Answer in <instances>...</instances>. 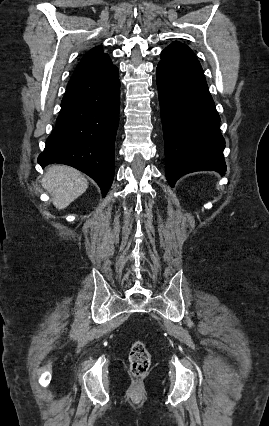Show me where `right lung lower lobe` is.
Segmentation results:
<instances>
[{"instance_id":"obj_1","label":"right lung lower lobe","mask_w":269,"mask_h":426,"mask_svg":"<svg viewBox=\"0 0 269 426\" xmlns=\"http://www.w3.org/2000/svg\"><path fill=\"white\" fill-rule=\"evenodd\" d=\"M118 68L74 77L61 102L56 126L38 163L72 166L90 176L104 197L114 177V146L119 125Z\"/></svg>"}]
</instances>
